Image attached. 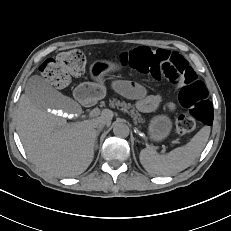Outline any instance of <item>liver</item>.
Masks as SVG:
<instances>
[{"label": "liver", "mask_w": 231, "mask_h": 231, "mask_svg": "<svg viewBox=\"0 0 231 231\" xmlns=\"http://www.w3.org/2000/svg\"><path fill=\"white\" fill-rule=\"evenodd\" d=\"M113 112L104 109L97 118L81 122L40 110L23 94L16 114L17 129L30 160L56 177H74L83 173L94 157L95 123L110 125Z\"/></svg>", "instance_id": "liver-1"}]
</instances>
